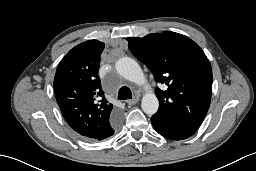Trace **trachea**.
<instances>
[{"mask_svg": "<svg viewBox=\"0 0 256 171\" xmlns=\"http://www.w3.org/2000/svg\"><path fill=\"white\" fill-rule=\"evenodd\" d=\"M132 98V92L127 86H122L118 92L119 100H126Z\"/></svg>", "mask_w": 256, "mask_h": 171, "instance_id": "obj_1", "label": "trachea"}]
</instances>
